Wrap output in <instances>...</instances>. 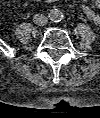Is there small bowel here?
<instances>
[{"instance_id": "small-bowel-1", "label": "small bowel", "mask_w": 100, "mask_h": 118, "mask_svg": "<svg viewBox=\"0 0 100 118\" xmlns=\"http://www.w3.org/2000/svg\"><path fill=\"white\" fill-rule=\"evenodd\" d=\"M39 1V0H35ZM49 2H55L57 0H48ZM95 5L100 9V0H95ZM83 12L87 16L89 20H91L95 24H100V14L97 13L90 5L84 4L82 6Z\"/></svg>"}]
</instances>
